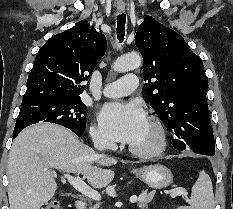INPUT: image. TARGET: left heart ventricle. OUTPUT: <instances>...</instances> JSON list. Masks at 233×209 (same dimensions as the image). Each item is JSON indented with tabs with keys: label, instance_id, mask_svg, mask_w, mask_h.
Instances as JSON below:
<instances>
[{
	"label": "left heart ventricle",
	"instance_id": "left-heart-ventricle-1",
	"mask_svg": "<svg viewBox=\"0 0 233 209\" xmlns=\"http://www.w3.org/2000/svg\"><path fill=\"white\" fill-rule=\"evenodd\" d=\"M155 141H156L155 132L152 129L150 123L147 121L143 131L138 136V138L131 143V145L137 148L146 149L152 147L155 144Z\"/></svg>",
	"mask_w": 233,
	"mask_h": 209
}]
</instances>
